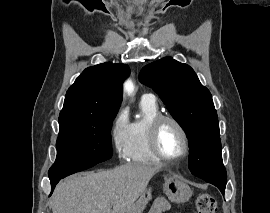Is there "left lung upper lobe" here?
<instances>
[{
	"label": "left lung upper lobe",
	"mask_w": 270,
	"mask_h": 213,
	"mask_svg": "<svg viewBox=\"0 0 270 213\" xmlns=\"http://www.w3.org/2000/svg\"><path fill=\"white\" fill-rule=\"evenodd\" d=\"M139 80L160 96L173 118L189 134V162L197 166L199 177L225 188L227 175L217 112L211 93L193 69L165 57L145 66Z\"/></svg>",
	"instance_id": "obj_1"
}]
</instances>
